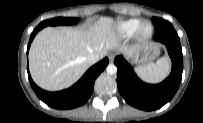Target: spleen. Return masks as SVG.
I'll use <instances>...</instances> for the list:
<instances>
[{
  "label": "spleen",
  "mask_w": 203,
  "mask_h": 123,
  "mask_svg": "<svg viewBox=\"0 0 203 123\" xmlns=\"http://www.w3.org/2000/svg\"><path fill=\"white\" fill-rule=\"evenodd\" d=\"M137 74L145 81L158 82L170 71V61L167 57L160 58L156 63H148L137 67Z\"/></svg>",
  "instance_id": "3e777b00"
}]
</instances>
